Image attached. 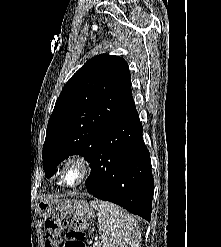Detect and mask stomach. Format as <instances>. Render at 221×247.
<instances>
[{"instance_id":"1","label":"stomach","mask_w":221,"mask_h":247,"mask_svg":"<svg viewBox=\"0 0 221 247\" xmlns=\"http://www.w3.org/2000/svg\"><path fill=\"white\" fill-rule=\"evenodd\" d=\"M95 202L88 204L85 201L78 200H41L37 204V211L44 220L52 217L57 218L62 215L75 214L83 220H89L95 217Z\"/></svg>"}]
</instances>
